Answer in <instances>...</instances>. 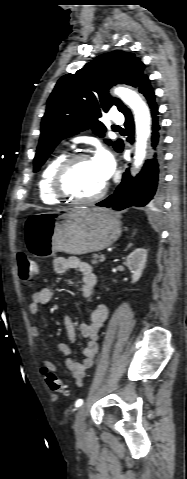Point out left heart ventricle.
<instances>
[{"label":"left heart ventricle","mask_w":187,"mask_h":479,"mask_svg":"<svg viewBox=\"0 0 187 479\" xmlns=\"http://www.w3.org/2000/svg\"><path fill=\"white\" fill-rule=\"evenodd\" d=\"M92 159L78 162L67 177V188L79 197L96 194L105 184Z\"/></svg>","instance_id":"obj_1"}]
</instances>
